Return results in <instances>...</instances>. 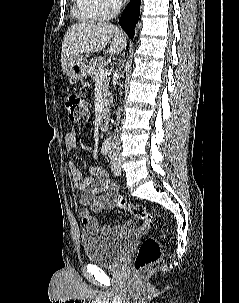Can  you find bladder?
Listing matches in <instances>:
<instances>
[{"label":"bladder","instance_id":"bladder-1","mask_svg":"<svg viewBox=\"0 0 239 303\" xmlns=\"http://www.w3.org/2000/svg\"><path fill=\"white\" fill-rule=\"evenodd\" d=\"M134 237H109L102 234H88L82 238L86 258L99 265L114 266L129 249Z\"/></svg>","mask_w":239,"mask_h":303}]
</instances>
